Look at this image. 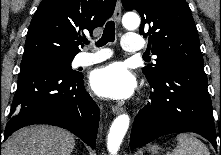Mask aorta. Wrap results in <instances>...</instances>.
I'll use <instances>...</instances> for the list:
<instances>
[{
	"label": "aorta",
	"instance_id": "1",
	"mask_svg": "<svg viewBox=\"0 0 221 155\" xmlns=\"http://www.w3.org/2000/svg\"><path fill=\"white\" fill-rule=\"evenodd\" d=\"M123 25L129 30L136 29L140 25V18L136 14H127L123 17ZM129 123L130 117L125 113L116 117L112 122L107 139V149L111 155H116L118 152Z\"/></svg>",
	"mask_w": 221,
	"mask_h": 155
}]
</instances>
